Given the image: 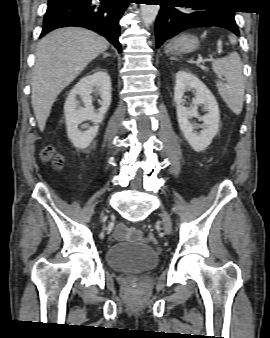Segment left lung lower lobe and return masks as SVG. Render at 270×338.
<instances>
[{
	"instance_id": "0a47b994",
	"label": "left lung lower lobe",
	"mask_w": 270,
	"mask_h": 338,
	"mask_svg": "<svg viewBox=\"0 0 270 338\" xmlns=\"http://www.w3.org/2000/svg\"><path fill=\"white\" fill-rule=\"evenodd\" d=\"M155 2H159L161 6L155 23L157 48L176 34L200 26L221 27L239 35L234 20L235 10L228 8L225 0H155Z\"/></svg>"
}]
</instances>
